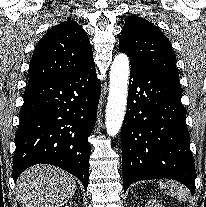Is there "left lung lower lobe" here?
<instances>
[{"mask_svg": "<svg viewBox=\"0 0 206 207\" xmlns=\"http://www.w3.org/2000/svg\"><path fill=\"white\" fill-rule=\"evenodd\" d=\"M179 78L131 64L121 130L124 192L140 180L169 178L195 191V166Z\"/></svg>", "mask_w": 206, "mask_h": 207, "instance_id": "obj_1", "label": "left lung lower lobe"}]
</instances>
